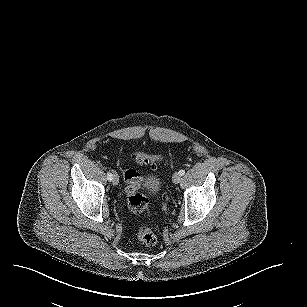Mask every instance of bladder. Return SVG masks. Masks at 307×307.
<instances>
[{
    "mask_svg": "<svg viewBox=\"0 0 307 307\" xmlns=\"http://www.w3.org/2000/svg\"><path fill=\"white\" fill-rule=\"evenodd\" d=\"M143 184H144V189L151 196L157 194L160 190V182L154 176L145 177L143 180Z\"/></svg>",
    "mask_w": 307,
    "mask_h": 307,
    "instance_id": "1",
    "label": "bladder"
}]
</instances>
